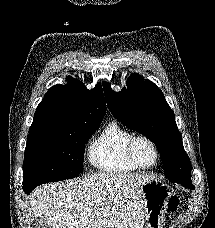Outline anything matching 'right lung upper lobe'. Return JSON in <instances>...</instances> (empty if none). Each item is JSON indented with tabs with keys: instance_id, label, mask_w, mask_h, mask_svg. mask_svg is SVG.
<instances>
[{
	"instance_id": "1",
	"label": "right lung upper lobe",
	"mask_w": 215,
	"mask_h": 228,
	"mask_svg": "<svg viewBox=\"0 0 215 228\" xmlns=\"http://www.w3.org/2000/svg\"><path fill=\"white\" fill-rule=\"evenodd\" d=\"M68 84L55 85L37 106L29 133L47 128L101 122L106 114V103L101 84L88 90L83 83L67 77Z\"/></svg>"
}]
</instances>
